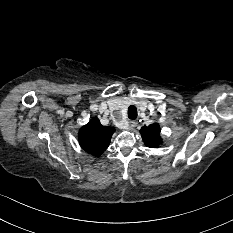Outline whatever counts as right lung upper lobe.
<instances>
[{
    "instance_id": "cb5924a9",
    "label": "right lung upper lobe",
    "mask_w": 233,
    "mask_h": 233,
    "mask_svg": "<svg viewBox=\"0 0 233 233\" xmlns=\"http://www.w3.org/2000/svg\"><path fill=\"white\" fill-rule=\"evenodd\" d=\"M114 132L113 127L102 126L98 118H93L80 129L78 134L79 143L86 152L99 156L109 146Z\"/></svg>"
}]
</instances>
